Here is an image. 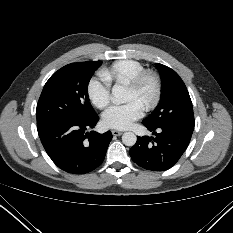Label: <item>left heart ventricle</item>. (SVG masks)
<instances>
[{"label": "left heart ventricle", "instance_id": "1", "mask_svg": "<svg viewBox=\"0 0 233 233\" xmlns=\"http://www.w3.org/2000/svg\"><path fill=\"white\" fill-rule=\"evenodd\" d=\"M153 86L147 81L140 92L135 91L128 86L125 101H138L142 106L152 97Z\"/></svg>", "mask_w": 233, "mask_h": 233}]
</instances>
